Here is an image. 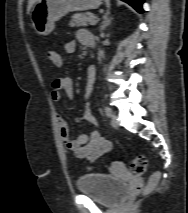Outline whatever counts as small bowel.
<instances>
[{"label":"small bowel","mask_w":188,"mask_h":213,"mask_svg":"<svg viewBox=\"0 0 188 213\" xmlns=\"http://www.w3.org/2000/svg\"><path fill=\"white\" fill-rule=\"evenodd\" d=\"M78 42L82 45L91 46L94 42V37L87 30H79L77 32V39L66 43L65 52L67 54H73L76 51ZM51 61L57 66L62 65V58L60 55L58 61ZM87 73L89 80H91L90 73H95L96 75L95 67H88ZM61 91H63L69 98L74 96V86L71 78L64 77L53 81L52 90L50 92V99L53 102H59L61 100ZM78 120L85 121L92 126L97 125V120L92 115L88 103L86 104L83 115L80 116ZM56 121L58 123L60 136L65 148L72 152L76 158L86 159L90 162H94L111 150L112 143L107 140L99 131L92 130L90 132L80 134L74 139H71L69 136L67 123L60 113L56 114Z\"/></svg>","instance_id":"small-bowel-1"}]
</instances>
